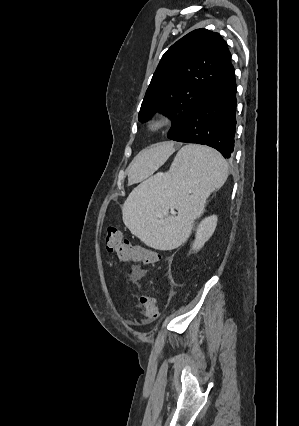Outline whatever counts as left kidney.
<instances>
[{
    "mask_svg": "<svg viewBox=\"0 0 299 426\" xmlns=\"http://www.w3.org/2000/svg\"><path fill=\"white\" fill-rule=\"evenodd\" d=\"M217 226V216L212 215L204 218L196 228L195 240L193 243V250H200L204 244L213 235Z\"/></svg>",
    "mask_w": 299,
    "mask_h": 426,
    "instance_id": "obj_1",
    "label": "left kidney"
}]
</instances>
